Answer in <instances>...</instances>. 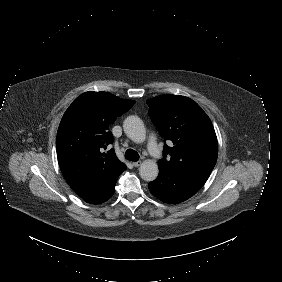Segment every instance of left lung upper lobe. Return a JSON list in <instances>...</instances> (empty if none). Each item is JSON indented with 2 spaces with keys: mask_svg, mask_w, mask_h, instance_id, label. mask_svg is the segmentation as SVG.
I'll list each match as a JSON object with an SVG mask.
<instances>
[{
  "mask_svg": "<svg viewBox=\"0 0 282 282\" xmlns=\"http://www.w3.org/2000/svg\"><path fill=\"white\" fill-rule=\"evenodd\" d=\"M147 104L148 114L165 140L159 169L211 172L218 143L212 122L201 107L188 97L170 94L148 99Z\"/></svg>",
  "mask_w": 282,
  "mask_h": 282,
  "instance_id": "obj_1",
  "label": "left lung upper lobe"
}]
</instances>
